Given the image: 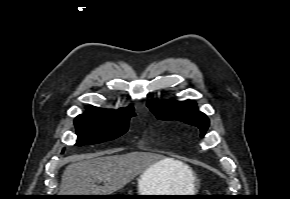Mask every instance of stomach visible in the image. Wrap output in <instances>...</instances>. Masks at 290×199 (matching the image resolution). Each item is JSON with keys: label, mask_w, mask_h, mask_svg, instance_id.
<instances>
[{"label": "stomach", "mask_w": 290, "mask_h": 199, "mask_svg": "<svg viewBox=\"0 0 290 199\" xmlns=\"http://www.w3.org/2000/svg\"><path fill=\"white\" fill-rule=\"evenodd\" d=\"M138 195H181V194H175L172 192L171 177L162 172H158V166L153 165L148 169H146L144 172H142L140 177L138 178ZM151 198L186 199L182 197H165V196H157Z\"/></svg>", "instance_id": "0dacf381"}]
</instances>
